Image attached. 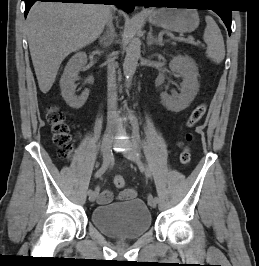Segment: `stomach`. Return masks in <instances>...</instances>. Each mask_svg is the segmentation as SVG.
<instances>
[{"label": "stomach", "mask_w": 259, "mask_h": 266, "mask_svg": "<svg viewBox=\"0 0 259 266\" xmlns=\"http://www.w3.org/2000/svg\"><path fill=\"white\" fill-rule=\"evenodd\" d=\"M148 19L153 25L178 33L192 32L199 25L198 12L188 8L153 9L148 13Z\"/></svg>", "instance_id": "obj_1"}]
</instances>
